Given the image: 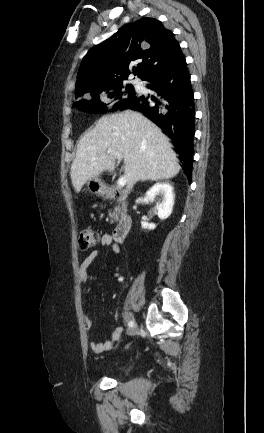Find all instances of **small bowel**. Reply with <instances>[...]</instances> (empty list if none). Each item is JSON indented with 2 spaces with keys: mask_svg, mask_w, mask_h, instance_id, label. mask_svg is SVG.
Masks as SVG:
<instances>
[{
  "mask_svg": "<svg viewBox=\"0 0 264 433\" xmlns=\"http://www.w3.org/2000/svg\"><path fill=\"white\" fill-rule=\"evenodd\" d=\"M100 245L101 246H108L109 248H111L116 253L119 252V247L113 242L112 238L109 236H103L100 240ZM98 254H99L98 250H93L86 255L84 261L82 262V264L80 266V270H79V276H80V280L82 282L87 281L88 268L95 261ZM84 322H85V326L87 329H90L92 327V320L88 316H86L84 318ZM122 334H123V328L122 327H116L113 330V332H112V334L108 340H106L104 342H100V343H94V342L91 343V345H90L91 350L97 354L110 350L112 348L114 342L119 340L121 338Z\"/></svg>",
  "mask_w": 264,
  "mask_h": 433,
  "instance_id": "c3829d8e",
  "label": "small bowel"
}]
</instances>
